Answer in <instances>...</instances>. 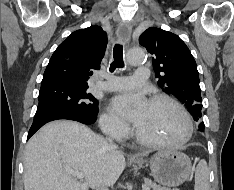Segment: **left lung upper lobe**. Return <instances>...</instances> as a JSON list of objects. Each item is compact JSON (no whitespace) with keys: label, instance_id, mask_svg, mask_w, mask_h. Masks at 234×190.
Wrapping results in <instances>:
<instances>
[{"label":"left lung upper lobe","instance_id":"left-lung-upper-lobe-1","mask_svg":"<svg viewBox=\"0 0 234 190\" xmlns=\"http://www.w3.org/2000/svg\"><path fill=\"white\" fill-rule=\"evenodd\" d=\"M139 42L153 55V68L159 86L164 92L177 97L193 119L200 123L199 131H204L199 74L187 45L179 36L156 27L144 31Z\"/></svg>","mask_w":234,"mask_h":190}]
</instances>
